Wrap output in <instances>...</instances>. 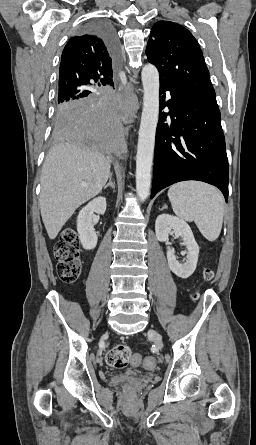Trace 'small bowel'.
Returning a JSON list of instances; mask_svg holds the SVG:
<instances>
[{
  "instance_id": "1",
  "label": "small bowel",
  "mask_w": 256,
  "mask_h": 445,
  "mask_svg": "<svg viewBox=\"0 0 256 445\" xmlns=\"http://www.w3.org/2000/svg\"><path fill=\"white\" fill-rule=\"evenodd\" d=\"M145 366H146V365H145ZM146 368H147V369H153V367H152V368H148L147 366H146Z\"/></svg>"
}]
</instances>
